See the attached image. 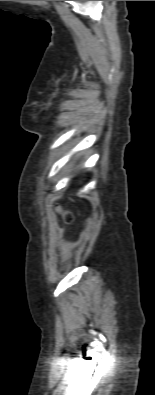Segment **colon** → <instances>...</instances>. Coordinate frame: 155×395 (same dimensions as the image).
Returning <instances> with one entry per match:
<instances>
[{"label": "colon", "instance_id": "colon-1", "mask_svg": "<svg viewBox=\"0 0 155 395\" xmlns=\"http://www.w3.org/2000/svg\"><path fill=\"white\" fill-rule=\"evenodd\" d=\"M62 216H63V219H64L66 222H70L71 219H72L71 214H70L69 212H67V211L63 212V213H62Z\"/></svg>", "mask_w": 155, "mask_h": 395}]
</instances>
